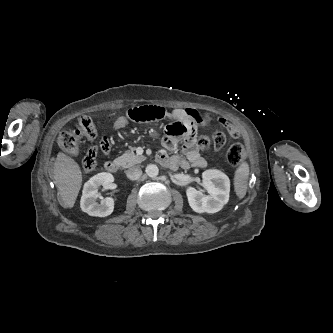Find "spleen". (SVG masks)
<instances>
[{
	"mask_svg": "<svg viewBox=\"0 0 333 333\" xmlns=\"http://www.w3.org/2000/svg\"><path fill=\"white\" fill-rule=\"evenodd\" d=\"M249 176V166L247 163H242L235 172L234 176V188L236 195L239 198H243L247 192Z\"/></svg>",
	"mask_w": 333,
	"mask_h": 333,
	"instance_id": "obj_1",
	"label": "spleen"
}]
</instances>
